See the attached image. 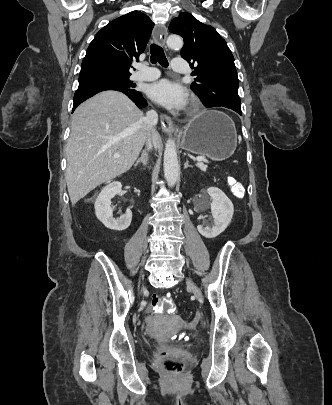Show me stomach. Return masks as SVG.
<instances>
[{"mask_svg": "<svg viewBox=\"0 0 332 405\" xmlns=\"http://www.w3.org/2000/svg\"><path fill=\"white\" fill-rule=\"evenodd\" d=\"M181 144L191 153L223 161L236 150V129L226 114L215 110L204 111L183 128Z\"/></svg>", "mask_w": 332, "mask_h": 405, "instance_id": "obj_1", "label": "stomach"}]
</instances>
